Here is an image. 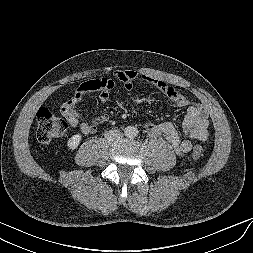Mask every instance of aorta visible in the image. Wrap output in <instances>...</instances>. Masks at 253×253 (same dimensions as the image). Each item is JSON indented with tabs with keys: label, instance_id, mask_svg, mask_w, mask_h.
<instances>
[{
	"label": "aorta",
	"instance_id": "762f6f07",
	"mask_svg": "<svg viewBox=\"0 0 253 253\" xmlns=\"http://www.w3.org/2000/svg\"><path fill=\"white\" fill-rule=\"evenodd\" d=\"M125 133L128 137H135L138 133V130L137 128H135L134 126H128L126 129H125Z\"/></svg>",
	"mask_w": 253,
	"mask_h": 253
}]
</instances>
